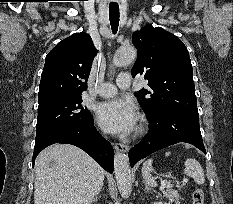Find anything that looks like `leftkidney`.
<instances>
[{
    "label": "left kidney",
    "mask_w": 233,
    "mask_h": 204,
    "mask_svg": "<svg viewBox=\"0 0 233 204\" xmlns=\"http://www.w3.org/2000/svg\"><path fill=\"white\" fill-rule=\"evenodd\" d=\"M153 204H170V203H164V202H155Z\"/></svg>",
    "instance_id": "obj_1"
}]
</instances>
